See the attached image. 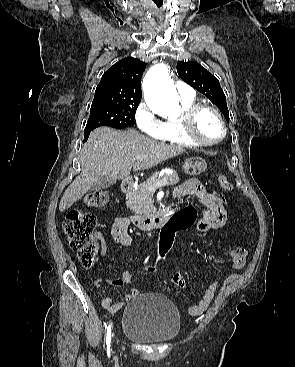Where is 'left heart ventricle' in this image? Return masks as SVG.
Segmentation results:
<instances>
[{"instance_id":"left-heart-ventricle-1","label":"left heart ventricle","mask_w":295,"mask_h":367,"mask_svg":"<svg viewBox=\"0 0 295 367\" xmlns=\"http://www.w3.org/2000/svg\"><path fill=\"white\" fill-rule=\"evenodd\" d=\"M196 127L198 135L208 141L215 140L222 134V127L219 120L209 110H203L199 114Z\"/></svg>"}]
</instances>
